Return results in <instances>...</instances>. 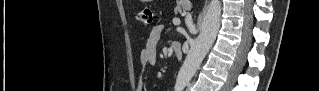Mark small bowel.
<instances>
[{
  "label": "small bowel",
  "mask_w": 319,
  "mask_h": 91,
  "mask_svg": "<svg viewBox=\"0 0 319 91\" xmlns=\"http://www.w3.org/2000/svg\"><path fill=\"white\" fill-rule=\"evenodd\" d=\"M162 32V24H158L151 29L146 44L140 52V64L142 68L154 66L157 63V46Z\"/></svg>",
  "instance_id": "c3829d8e"
}]
</instances>
